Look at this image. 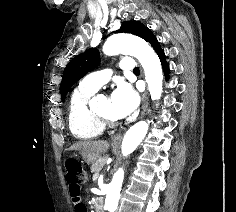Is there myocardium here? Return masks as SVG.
Instances as JSON below:
<instances>
[{
	"mask_svg": "<svg viewBox=\"0 0 236 212\" xmlns=\"http://www.w3.org/2000/svg\"><path fill=\"white\" fill-rule=\"evenodd\" d=\"M96 117L99 119V121L105 126V127H114L118 125V120L108 117L102 113H100L98 110L94 112Z\"/></svg>",
	"mask_w": 236,
	"mask_h": 212,
	"instance_id": "f54148a6",
	"label": "myocardium"
}]
</instances>
